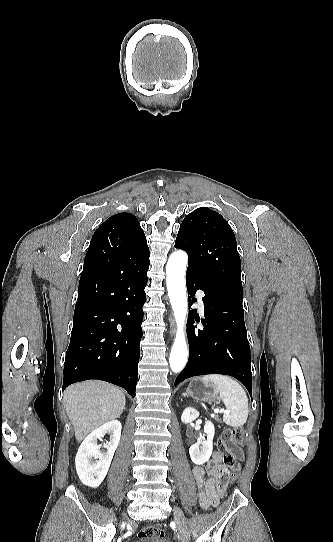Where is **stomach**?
<instances>
[{"mask_svg": "<svg viewBox=\"0 0 333 542\" xmlns=\"http://www.w3.org/2000/svg\"><path fill=\"white\" fill-rule=\"evenodd\" d=\"M187 394L194 400H199V402H216V400H219V394L214 384H204L202 378H193L191 380L187 388Z\"/></svg>", "mask_w": 333, "mask_h": 542, "instance_id": "0dacf381", "label": "stomach"}]
</instances>
